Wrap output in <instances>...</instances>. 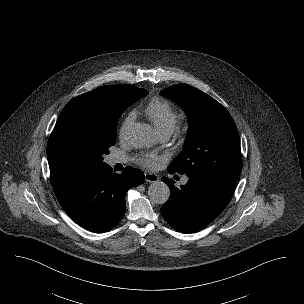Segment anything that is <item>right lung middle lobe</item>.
Instances as JSON below:
<instances>
[{
	"mask_svg": "<svg viewBox=\"0 0 304 304\" xmlns=\"http://www.w3.org/2000/svg\"><path fill=\"white\" fill-rule=\"evenodd\" d=\"M148 94L130 86L123 100L114 105L79 109L64 122L62 140L93 168L104 166L103 156L115 144L116 126L123 111Z\"/></svg>",
	"mask_w": 304,
	"mask_h": 304,
	"instance_id": "obj_1",
	"label": "right lung middle lobe"
}]
</instances>
